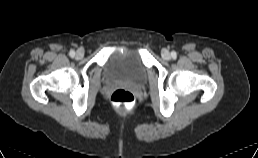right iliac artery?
Listing matches in <instances>:
<instances>
[{"mask_svg":"<svg viewBox=\"0 0 258 158\" xmlns=\"http://www.w3.org/2000/svg\"><path fill=\"white\" fill-rule=\"evenodd\" d=\"M69 55H70L71 57H74V56H75V51H74V50H71V51L69 52Z\"/></svg>","mask_w":258,"mask_h":158,"instance_id":"82829eb1","label":"right iliac artery"}]
</instances>
